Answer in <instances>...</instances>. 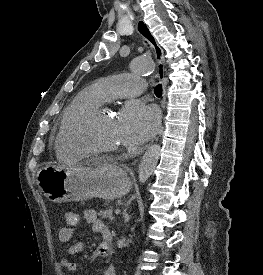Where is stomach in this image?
<instances>
[{
    "label": "stomach",
    "mask_w": 263,
    "mask_h": 275,
    "mask_svg": "<svg viewBox=\"0 0 263 275\" xmlns=\"http://www.w3.org/2000/svg\"><path fill=\"white\" fill-rule=\"evenodd\" d=\"M37 184L44 196L55 203L94 197L111 201L124 196L131 188L127 171L114 163L95 168L49 165L38 172Z\"/></svg>",
    "instance_id": "obj_1"
}]
</instances>
